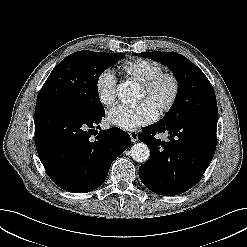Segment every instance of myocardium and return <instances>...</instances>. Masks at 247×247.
<instances>
[{"label": "myocardium", "mask_w": 247, "mask_h": 247, "mask_svg": "<svg viewBox=\"0 0 247 247\" xmlns=\"http://www.w3.org/2000/svg\"><path fill=\"white\" fill-rule=\"evenodd\" d=\"M169 81L172 85V92L168 99L161 103L158 107L159 114H165L169 112L179 99L181 93V82L180 79L173 73L161 72L151 79L142 83V88L144 89L147 96H151L156 88L163 82Z\"/></svg>", "instance_id": "f54148a6"}]
</instances>
